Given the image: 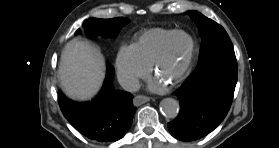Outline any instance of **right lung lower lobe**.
<instances>
[{
	"instance_id": "98d812e1",
	"label": "right lung lower lobe",
	"mask_w": 279,
	"mask_h": 148,
	"mask_svg": "<svg viewBox=\"0 0 279 148\" xmlns=\"http://www.w3.org/2000/svg\"><path fill=\"white\" fill-rule=\"evenodd\" d=\"M114 72L108 63L107 76L99 95L87 103H76L58 91V102L65 118L84 136L98 142L121 139L131 126L136 107L130 93L115 90Z\"/></svg>"
}]
</instances>
